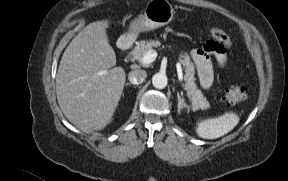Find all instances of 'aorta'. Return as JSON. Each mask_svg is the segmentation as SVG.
Instances as JSON below:
<instances>
[{
	"mask_svg": "<svg viewBox=\"0 0 288 181\" xmlns=\"http://www.w3.org/2000/svg\"><path fill=\"white\" fill-rule=\"evenodd\" d=\"M168 78L164 73H156L152 77V84L157 89H163L167 86Z\"/></svg>",
	"mask_w": 288,
	"mask_h": 181,
	"instance_id": "762f6f07",
	"label": "aorta"
}]
</instances>
